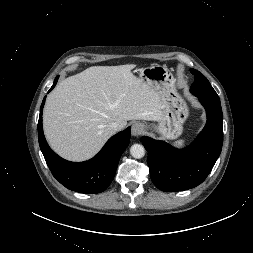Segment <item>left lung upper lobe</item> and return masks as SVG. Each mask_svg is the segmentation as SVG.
<instances>
[{"mask_svg": "<svg viewBox=\"0 0 253 253\" xmlns=\"http://www.w3.org/2000/svg\"><path fill=\"white\" fill-rule=\"evenodd\" d=\"M191 73L194 75L195 81L192 84L190 91L192 94L198 97H205L210 99H219L217 93L210 85L207 78L195 69H190Z\"/></svg>", "mask_w": 253, "mask_h": 253, "instance_id": "left-lung-upper-lobe-1", "label": "left lung upper lobe"}]
</instances>
